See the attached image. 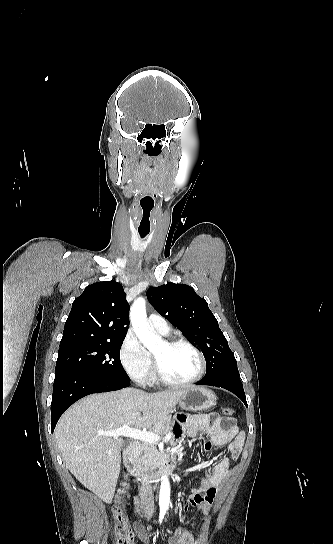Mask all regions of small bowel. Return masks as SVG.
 I'll return each mask as SVG.
<instances>
[{"label":"small bowel","instance_id":"small-bowel-1","mask_svg":"<svg viewBox=\"0 0 333 544\" xmlns=\"http://www.w3.org/2000/svg\"><path fill=\"white\" fill-rule=\"evenodd\" d=\"M199 433L209 435L210 441L205 443V451L225 445H228L229 448V457H224L215 463L210 473L201 480L199 487L192 489V494L184 503L185 513L192 506L207 515L217 489L229 472L231 460H236L242 451L244 435L238 431L233 420H228V425L224 426V420L217 414L193 415L177 420L175 442L180 443L185 436L195 437ZM139 510L140 504L137 503L136 512ZM134 530L142 540H148L147 532L140 521L134 523ZM201 541V537H196L190 532L178 528L175 534L168 539V544H200Z\"/></svg>","mask_w":333,"mask_h":544}]
</instances>
